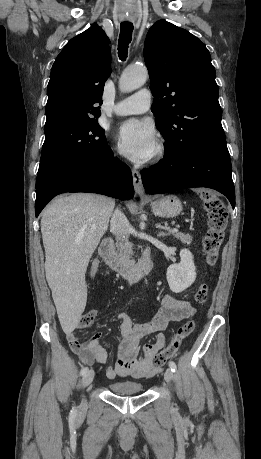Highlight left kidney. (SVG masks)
I'll use <instances>...</instances> for the list:
<instances>
[{"instance_id":"1","label":"left kidney","mask_w":261,"mask_h":459,"mask_svg":"<svg viewBox=\"0 0 261 459\" xmlns=\"http://www.w3.org/2000/svg\"><path fill=\"white\" fill-rule=\"evenodd\" d=\"M180 263L167 269V281L172 292L180 293L190 287L196 279L193 255L188 249L180 251Z\"/></svg>"}]
</instances>
